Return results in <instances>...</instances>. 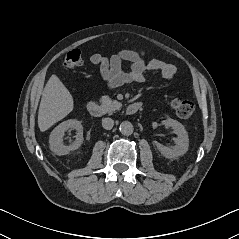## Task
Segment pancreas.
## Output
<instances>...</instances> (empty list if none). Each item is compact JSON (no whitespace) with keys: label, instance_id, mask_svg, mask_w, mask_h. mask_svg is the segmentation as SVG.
Returning <instances> with one entry per match:
<instances>
[{"label":"pancreas","instance_id":"1","mask_svg":"<svg viewBox=\"0 0 239 239\" xmlns=\"http://www.w3.org/2000/svg\"><path fill=\"white\" fill-rule=\"evenodd\" d=\"M100 102L107 113H112L122 107L117 100H112L109 96H102Z\"/></svg>","mask_w":239,"mask_h":239}]
</instances>
